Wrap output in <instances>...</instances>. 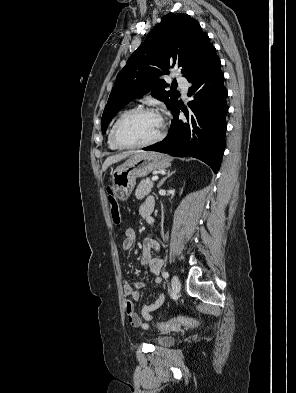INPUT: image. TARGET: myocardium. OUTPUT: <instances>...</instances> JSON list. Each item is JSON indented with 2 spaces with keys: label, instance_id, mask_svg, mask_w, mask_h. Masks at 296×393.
Listing matches in <instances>:
<instances>
[{
  "label": "myocardium",
  "instance_id": "myocardium-1",
  "mask_svg": "<svg viewBox=\"0 0 296 393\" xmlns=\"http://www.w3.org/2000/svg\"><path fill=\"white\" fill-rule=\"evenodd\" d=\"M141 113H155L160 116V114L155 109L149 108V107H137V108H134V109H131V110L125 112L117 120V122L115 123L113 130H112V141L117 147H119L121 149H139V148L151 146V145H153L163 139V137L165 136L166 123L161 116H160L162 119L161 129H160L159 133L153 139L143 142V143H138V144H127V143H124L120 139L119 131H120V128L123 125V123L126 120H128L130 117L137 115V114H141Z\"/></svg>",
  "mask_w": 296,
  "mask_h": 393
}]
</instances>
